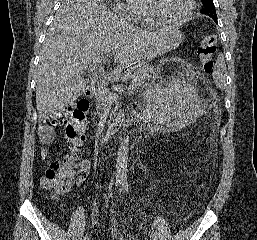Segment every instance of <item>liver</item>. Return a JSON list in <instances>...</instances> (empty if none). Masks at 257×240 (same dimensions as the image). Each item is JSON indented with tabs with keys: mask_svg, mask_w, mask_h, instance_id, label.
<instances>
[{
	"mask_svg": "<svg viewBox=\"0 0 257 240\" xmlns=\"http://www.w3.org/2000/svg\"><path fill=\"white\" fill-rule=\"evenodd\" d=\"M114 15L103 0H64L48 29L36 76L39 118L60 112L85 90L84 66L109 57L117 67L109 78L118 80L124 68L139 61L163 35Z\"/></svg>",
	"mask_w": 257,
	"mask_h": 240,
	"instance_id": "liver-1",
	"label": "liver"
}]
</instances>
